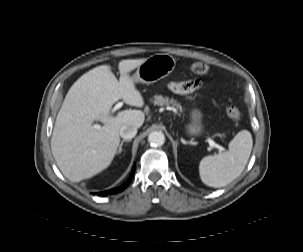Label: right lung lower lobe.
<instances>
[{
    "instance_id": "1",
    "label": "right lung lower lobe",
    "mask_w": 303,
    "mask_h": 252,
    "mask_svg": "<svg viewBox=\"0 0 303 252\" xmlns=\"http://www.w3.org/2000/svg\"><path fill=\"white\" fill-rule=\"evenodd\" d=\"M134 172H135V165L133 166L130 178L122 186H120L116 189H111V190H107V191H104V192H98L97 195L98 196H106V195L115 194V193H118V192L124 190L130 184V182L133 178Z\"/></svg>"
}]
</instances>
